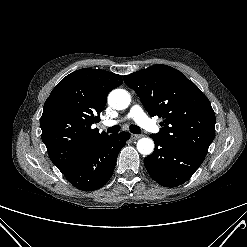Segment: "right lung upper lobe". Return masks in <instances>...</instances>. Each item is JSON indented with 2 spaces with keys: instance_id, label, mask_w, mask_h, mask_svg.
Listing matches in <instances>:
<instances>
[{
  "instance_id": "right-lung-upper-lobe-1",
  "label": "right lung upper lobe",
  "mask_w": 247,
  "mask_h": 247,
  "mask_svg": "<svg viewBox=\"0 0 247 247\" xmlns=\"http://www.w3.org/2000/svg\"><path fill=\"white\" fill-rule=\"evenodd\" d=\"M122 83L118 74L84 68L67 75L52 90L40 120L41 138L61 172L107 136L91 126L99 122L108 93Z\"/></svg>"
}]
</instances>
